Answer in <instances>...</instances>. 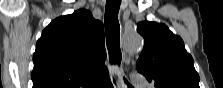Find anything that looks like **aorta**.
Returning <instances> with one entry per match:
<instances>
[{"instance_id": "1", "label": "aorta", "mask_w": 223, "mask_h": 88, "mask_svg": "<svg viewBox=\"0 0 223 88\" xmlns=\"http://www.w3.org/2000/svg\"><path fill=\"white\" fill-rule=\"evenodd\" d=\"M126 51L138 52L143 48V38L138 33L126 34L122 39Z\"/></svg>"}]
</instances>
